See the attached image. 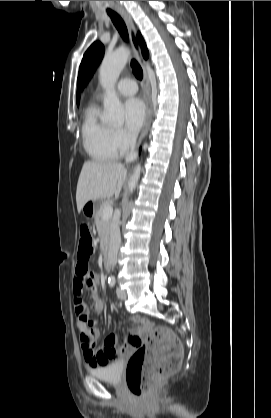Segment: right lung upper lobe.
Instances as JSON below:
<instances>
[{
  "instance_id": "right-lung-upper-lobe-1",
  "label": "right lung upper lobe",
  "mask_w": 271,
  "mask_h": 418,
  "mask_svg": "<svg viewBox=\"0 0 271 418\" xmlns=\"http://www.w3.org/2000/svg\"><path fill=\"white\" fill-rule=\"evenodd\" d=\"M138 41H139V42H140V44H141V47H142V51H143V56H144V58H147V57H148V51H147V48H146L145 42H144V40H143V38L141 37V35H140V34H138Z\"/></svg>"
}]
</instances>
